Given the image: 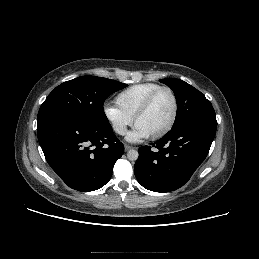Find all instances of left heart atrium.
I'll return each instance as SVG.
<instances>
[{
    "mask_svg": "<svg viewBox=\"0 0 259 259\" xmlns=\"http://www.w3.org/2000/svg\"><path fill=\"white\" fill-rule=\"evenodd\" d=\"M149 137L142 129L135 126V128L128 133L127 140L130 142H139L145 138Z\"/></svg>",
    "mask_w": 259,
    "mask_h": 259,
    "instance_id": "obj_1",
    "label": "left heart atrium"
}]
</instances>
